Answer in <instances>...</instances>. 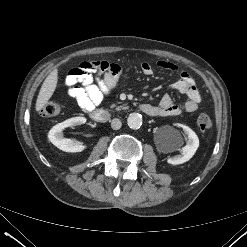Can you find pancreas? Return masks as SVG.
<instances>
[{
  "instance_id": "1",
  "label": "pancreas",
  "mask_w": 247,
  "mask_h": 247,
  "mask_svg": "<svg viewBox=\"0 0 247 247\" xmlns=\"http://www.w3.org/2000/svg\"><path fill=\"white\" fill-rule=\"evenodd\" d=\"M119 104H120V102H119ZM111 107L114 108L115 105H111ZM116 109L117 110H121V109L125 110V109H127V106L125 104H122V105L118 106Z\"/></svg>"
}]
</instances>
